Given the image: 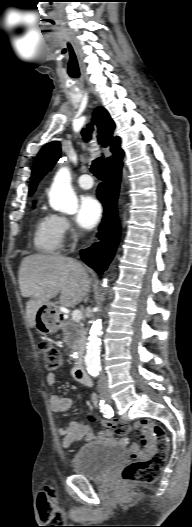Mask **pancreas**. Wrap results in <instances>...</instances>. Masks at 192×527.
<instances>
[{
  "instance_id": "cf45deb5",
  "label": "pancreas",
  "mask_w": 192,
  "mask_h": 527,
  "mask_svg": "<svg viewBox=\"0 0 192 527\" xmlns=\"http://www.w3.org/2000/svg\"><path fill=\"white\" fill-rule=\"evenodd\" d=\"M64 340L71 345L74 350L79 351L86 341L85 331L82 325L73 321H65L62 325Z\"/></svg>"
}]
</instances>
